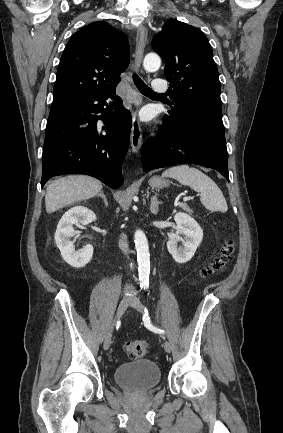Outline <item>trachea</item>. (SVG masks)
Masks as SVG:
<instances>
[{
  "mask_svg": "<svg viewBox=\"0 0 283 433\" xmlns=\"http://www.w3.org/2000/svg\"><path fill=\"white\" fill-rule=\"evenodd\" d=\"M133 78H134V82H135L136 87L139 89V91L143 95H167L164 93L154 92L150 87H148V85H146V83L143 82V80L138 75L134 74Z\"/></svg>",
  "mask_w": 283,
  "mask_h": 433,
  "instance_id": "trachea-1",
  "label": "trachea"
}]
</instances>
